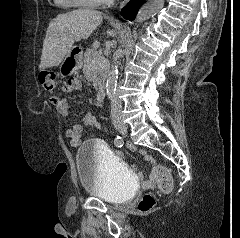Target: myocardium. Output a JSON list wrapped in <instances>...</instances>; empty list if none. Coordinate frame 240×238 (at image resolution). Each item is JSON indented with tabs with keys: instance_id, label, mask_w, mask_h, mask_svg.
<instances>
[{
	"instance_id": "obj_1",
	"label": "myocardium",
	"mask_w": 240,
	"mask_h": 238,
	"mask_svg": "<svg viewBox=\"0 0 240 238\" xmlns=\"http://www.w3.org/2000/svg\"><path fill=\"white\" fill-rule=\"evenodd\" d=\"M73 2L86 7L103 6L109 3L107 0H72Z\"/></svg>"
}]
</instances>
